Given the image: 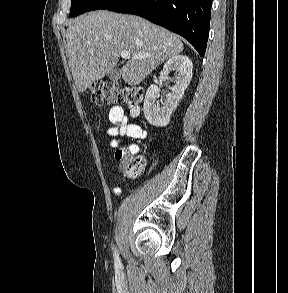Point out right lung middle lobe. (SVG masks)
Masks as SVG:
<instances>
[{"instance_id": "right-lung-middle-lobe-1", "label": "right lung middle lobe", "mask_w": 288, "mask_h": 293, "mask_svg": "<svg viewBox=\"0 0 288 293\" xmlns=\"http://www.w3.org/2000/svg\"><path fill=\"white\" fill-rule=\"evenodd\" d=\"M120 0H71L70 16L75 17L87 11L107 9Z\"/></svg>"}]
</instances>
